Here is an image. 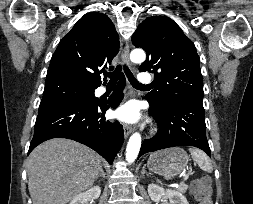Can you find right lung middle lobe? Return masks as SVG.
I'll return each mask as SVG.
<instances>
[{"mask_svg": "<svg viewBox=\"0 0 253 204\" xmlns=\"http://www.w3.org/2000/svg\"><path fill=\"white\" fill-rule=\"evenodd\" d=\"M94 89L96 88L69 81L45 83L41 103L52 101H79L92 103L97 100L94 96Z\"/></svg>", "mask_w": 253, "mask_h": 204, "instance_id": "dd1d6c3e", "label": "right lung middle lobe"}]
</instances>
